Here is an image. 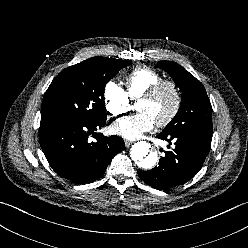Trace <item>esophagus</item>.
Masks as SVG:
<instances>
[{"instance_id":"34e87169","label":"esophagus","mask_w":248,"mask_h":248,"mask_svg":"<svg viewBox=\"0 0 248 248\" xmlns=\"http://www.w3.org/2000/svg\"><path fill=\"white\" fill-rule=\"evenodd\" d=\"M125 146L126 147H130L132 145L133 142L129 141V140H125Z\"/></svg>"}]
</instances>
